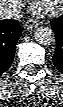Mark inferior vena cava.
<instances>
[{
  "label": "inferior vena cava",
  "mask_w": 63,
  "mask_h": 107,
  "mask_svg": "<svg viewBox=\"0 0 63 107\" xmlns=\"http://www.w3.org/2000/svg\"><path fill=\"white\" fill-rule=\"evenodd\" d=\"M22 3L18 0H2L0 7L1 18L20 19Z\"/></svg>",
  "instance_id": "obj_1"
}]
</instances>
